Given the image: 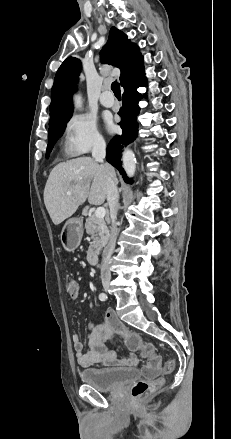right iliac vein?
Returning <instances> with one entry per match:
<instances>
[{
  "label": "right iliac vein",
  "mask_w": 231,
  "mask_h": 439,
  "mask_svg": "<svg viewBox=\"0 0 231 439\" xmlns=\"http://www.w3.org/2000/svg\"><path fill=\"white\" fill-rule=\"evenodd\" d=\"M109 288H110V286H109L108 284L104 285V289H105V291H108Z\"/></svg>",
  "instance_id": "63e3f726"
}]
</instances>
